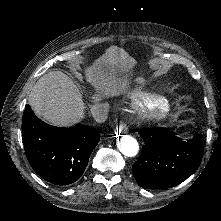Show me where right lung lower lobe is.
Masks as SVG:
<instances>
[{
	"label": "right lung lower lobe",
	"mask_w": 221,
	"mask_h": 221,
	"mask_svg": "<svg viewBox=\"0 0 221 221\" xmlns=\"http://www.w3.org/2000/svg\"><path fill=\"white\" fill-rule=\"evenodd\" d=\"M22 137L33 170L55 185L77 181L100 140L99 132L87 125L51 126L41 121L29 105L23 114Z\"/></svg>",
	"instance_id": "right-lung-lower-lobe-1"
}]
</instances>
